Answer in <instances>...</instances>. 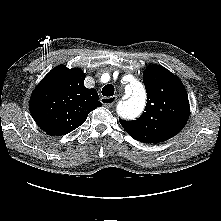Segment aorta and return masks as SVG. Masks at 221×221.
I'll list each match as a JSON object with an SVG mask.
<instances>
[{"instance_id":"1","label":"aorta","mask_w":221,"mask_h":221,"mask_svg":"<svg viewBox=\"0 0 221 221\" xmlns=\"http://www.w3.org/2000/svg\"><path fill=\"white\" fill-rule=\"evenodd\" d=\"M127 100L121 103L118 108V114L122 117L134 118L144 109L146 94L143 86L136 80H132L126 85Z\"/></svg>"}]
</instances>
